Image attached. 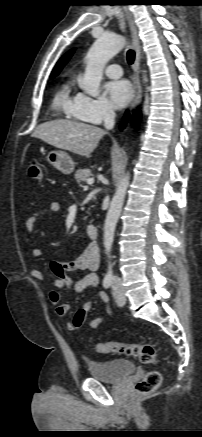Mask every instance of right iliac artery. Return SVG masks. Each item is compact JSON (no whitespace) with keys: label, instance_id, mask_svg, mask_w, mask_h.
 <instances>
[{"label":"right iliac artery","instance_id":"82829eb1","mask_svg":"<svg viewBox=\"0 0 202 437\" xmlns=\"http://www.w3.org/2000/svg\"><path fill=\"white\" fill-rule=\"evenodd\" d=\"M112 284V278L111 277H105L103 280V286L104 288H109Z\"/></svg>","mask_w":202,"mask_h":437}]
</instances>
